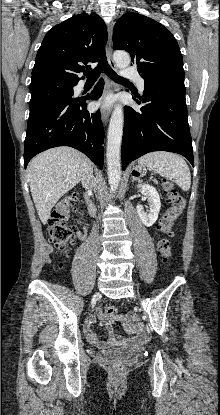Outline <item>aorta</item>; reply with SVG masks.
I'll list each match as a JSON object with an SVG mask.
<instances>
[{"label":"aorta","mask_w":220,"mask_h":415,"mask_svg":"<svg viewBox=\"0 0 220 415\" xmlns=\"http://www.w3.org/2000/svg\"><path fill=\"white\" fill-rule=\"evenodd\" d=\"M113 59L118 68H126L130 64V56L125 51H115ZM124 113L121 105L114 107L107 135V173L112 191H116L121 179L120 150L123 135Z\"/></svg>","instance_id":"obj_1"}]
</instances>
